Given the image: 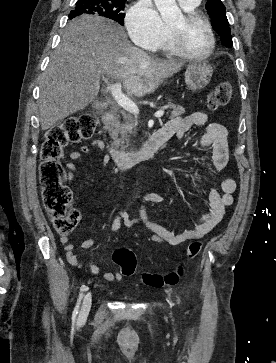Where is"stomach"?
I'll return each instance as SVG.
<instances>
[{
  "mask_svg": "<svg viewBox=\"0 0 276 363\" xmlns=\"http://www.w3.org/2000/svg\"><path fill=\"white\" fill-rule=\"evenodd\" d=\"M213 68L207 63L189 64L185 72V83L191 91L206 87L212 77Z\"/></svg>",
  "mask_w": 276,
  "mask_h": 363,
  "instance_id": "obj_1",
  "label": "stomach"
}]
</instances>
